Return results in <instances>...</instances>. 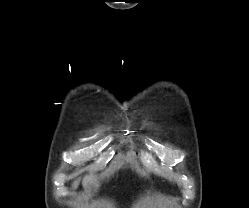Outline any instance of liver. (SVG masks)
Here are the masks:
<instances>
[{
    "instance_id": "obj_1",
    "label": "liver",
    "mask_w": 249,
    "mask_h": 208,
    "mask_svg": "<svg viewBox=\"0 0 249 208\" xmlns=\"http://www.w3.org/2000/svg\"><path fill=\"white\" fill-rule=\"evenodd\" d=\"M94 180L95 176L93 173L86 175L82 181L83 187L86 188L89 184L93 183ZM78 185H79V179L73 182V188L76 189Z\"/></svg>"
}]
</instances>
